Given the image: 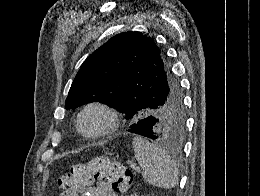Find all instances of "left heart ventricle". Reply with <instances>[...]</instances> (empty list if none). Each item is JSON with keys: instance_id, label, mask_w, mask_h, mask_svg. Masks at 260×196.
I'll return each mask as SVG.
<instances>
[{"instance_id": "1", "label": "left heart ventricle", "mask_w": 260, "mask_h": 196, "mask_svg": "<svg viewBox=\"0 0 260 196\" xmlns=\"http://www.w3.org/2000/svg\"><path fill=\"white\" fill-rule=\"evenodd\" d=\"M108 121L106 113L100 109L87 111L81 119V128L88 133H94L102 129Z\"/></svg>"}]
</instances>
